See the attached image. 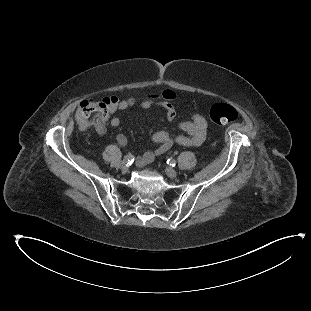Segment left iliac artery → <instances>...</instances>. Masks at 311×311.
I'll use <instances>...</instances> for the list:
<instances>
[{"label":"left iliac artery","instance_id":"left-iliac-artery-1","mask_svg":"<svg viewBox=\"0 0 311 311\" xmlns=\"http://www.w3.org/2000/svg\"><path fill=\"white\" fill-rule=\"evenodd\" d=\"M167 164L170 165V166H172V167H174V166L176 165V160L173 159V158H169V159L167 160Z\"/></svg>","mask_w":311,"mask_h":311}]
</instances>
